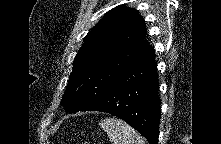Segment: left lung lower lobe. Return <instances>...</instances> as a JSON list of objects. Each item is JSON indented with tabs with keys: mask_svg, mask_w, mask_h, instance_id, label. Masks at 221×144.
<instances>
[{
	"mask_svg": "<svg viewBox=\"0 0 221 144\" xmlns=\"http://www.w3.org/2000/svg\"><path fill=\"white\" fill-rule=\"evenodd\" d=\"M156 66L155 50L149 45L86 111L113 114L140 132L150 144H157L161 100Z\"/></svg>",
	"mask_w": 221,
	"mask_h": 144,
	"instance_id": "left-lung-lower-lobe-1",
	"label": "left lung lower lobe"
}]
</instances>
